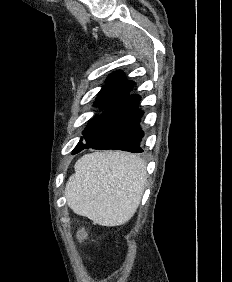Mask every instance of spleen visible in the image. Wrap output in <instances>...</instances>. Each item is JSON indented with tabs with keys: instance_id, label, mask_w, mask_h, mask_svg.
I'll return each instance as SVG.
<instances>
[{
	"instance_id": "1",
	"label": "spleen",
	"mask_w": 232,
	"mask_h": 282,
	"mask_svg": "<svg viewBox=\"0 0 232 282\" xmlns=\"http://www.w3.org/2000/svg\"><path fill=\"white\" fill-rule=\"evenodd\" d=\"M65 196L68 206L102 226L126 223L136 212L146 181L145 164L136 155L95 152L75 163Z\"/></svg>"
}]
</instances>
